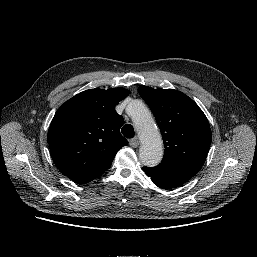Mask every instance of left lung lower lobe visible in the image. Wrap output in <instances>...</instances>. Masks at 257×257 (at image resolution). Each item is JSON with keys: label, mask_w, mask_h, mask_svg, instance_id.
Instances as JSON below:
<instances>
[{"label": "left lung lower lobe", "mask_w": 257, "mask_h": 257, "mask_svg": "<svg viewBox=\"0 0 257 257\" xmlns=\"http://www.w3.org/2000/svg\"><path fill=\"white\" fill-rule=\"evenodd\" d=\"M143 170L151 178L152 182L160 188H174L186 183L190 177L187 175L167 171L156 167H144Z\"/></svg>", "instance_id": "0a47b994"}]
</instances>
